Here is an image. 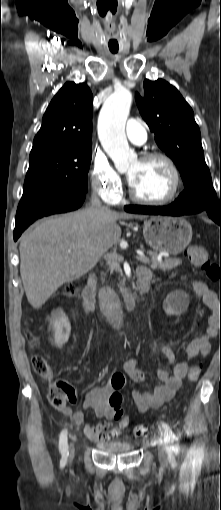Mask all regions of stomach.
Instances as JSON below:
<instances>
[{
  "label": "stomach",
  "mask_w": 221,
  "mask_h": 510,
  "mask_svg": "<svg viewBox=\"0 0 221 510\" xmlns=\"http://www.w3.org/2000/svg\"><path fill=\"white\" fill-rule=\"evenodd\" d=\"M192 227L179 217H152L144 222L143 236L156 252L181 253L191 242Z\"/></svg>",
  "instance_id": "obj_1"
}]
</instances>
